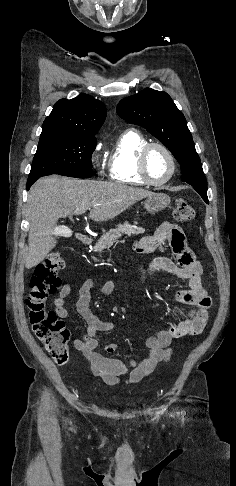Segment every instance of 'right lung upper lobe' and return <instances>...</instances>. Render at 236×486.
Here are the masks:
<instances>
[{
    "instance_id": "right-lung-upper-lobe-1",
    "label": "right lung upper lobe",
    "mask_w": 236,
    "mask_h": 486,
    "mask_svg": "<svg viewBox=\"0 0 236 486\" xmlns=\"http://www.w3.org/2000/svg\"><path fill=\"white\" fill-rule=\"evenodd\" d=\"M106 117L105 105L81 94L74 99L57 101L44 120L42 132H61L95 137Z\"/></svg>"
}]
</instances>
